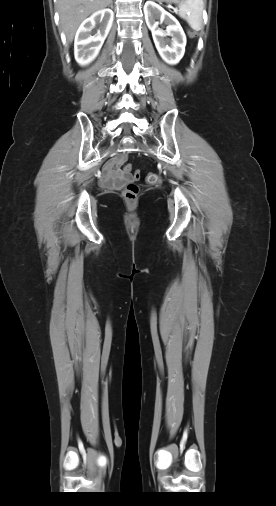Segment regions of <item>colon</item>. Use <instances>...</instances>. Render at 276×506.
I'll use <instances>...</instances> for the list:
<instances>
[{
	"mask_svg": "<svg viewBox=\"0 0 276 506\" xmlns=\"http://www.w3.org/2000/svg\"><path fill=\"white\" fill-rule=\"evenodd\" d=\"M190 34L193 36L194 32L191 31ZM124 170L127 172L131 171L132 170L131 165H129V164L125 165ZM139 177H140V171L135 170L134 174H133V181L129 182L127 184V186L123 192V197L128 202H134V201H136V199L138 197V187H137L135 181H137L139 179ZM146 180L149 184H153V185L159 184L161 182V178H160L159 174L153 173V172L148 173Z\"/></svg>",
	"mask_w": 276,
	"mask_h": 506,
	"instance_id": "1",
	"label": "colon"
}]
</instances>
